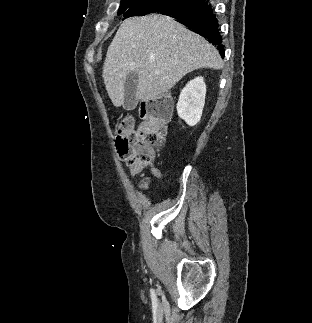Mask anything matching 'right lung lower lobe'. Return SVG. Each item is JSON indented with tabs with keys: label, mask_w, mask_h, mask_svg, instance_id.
<instances>
[{
	"label": "right lung lower lobe",
	"mask_w": 312,
	"mask_h": 323,
	"mask_svg": "<svg viewBox=\"0 0 312 323\" xmlns=\"http://www.w3.org/2000/svg\"><path fill=\"white\" fill-rule=\"evenodd\" d=\"M164 14L176 18L178 22L207 38L224 57L219 22L209 0H191L187 4Z\"/></svg>",
	"instance_id": "obj_1"
}]
</instances>
